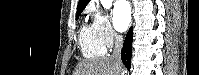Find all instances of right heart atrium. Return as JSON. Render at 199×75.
I'll list each match as a JSON object with an SVG mask.
<instances>
[{
  "mask_svg": "<svg viewBox=\"0 0 199 75\" xmlns=\"http://www.w3.org/2000/svg\"><path fill=\"white\" fill-rule=\"evenodd\" d=\"M93 24L95 25L101 42L106 48H111L119 42L120 36L115 31L107 15L100 13L95 14Z\"/></svg>",
  "mask_w": 199,
  "mask_h": 75,
  "instance_id": "obj_1",
  "label": "right heart atrium"
}]
</instances>
